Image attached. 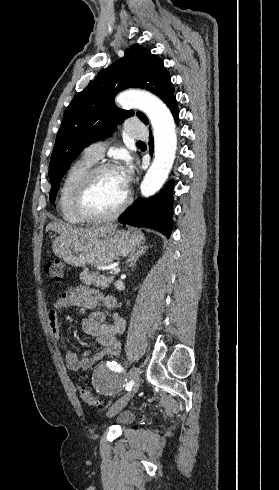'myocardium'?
<instances>
[{"label": "myocardium", "mask_w": 279, "mask_h": 490, "mask_svg": "<svg viewBox=\"0 0 279 490\" xmlns=\"http://www.w3.org/2000/svg\"><path fill=\"white\" fill-rule=\"evenodd\" d=\"M106 171H118V168L112 164L103 163L91 167L82 177L75 196V207L78 214L86 221L91 222H104L116 219L119 217L129 206L132 195L129 191L126 193V197L123 202L112 212L107 214H100L93 211L90 207L89 200L92 193L94 184L98 176Z\"/></svg>", "instance_id": "myocardium-1"}]
</instances>
